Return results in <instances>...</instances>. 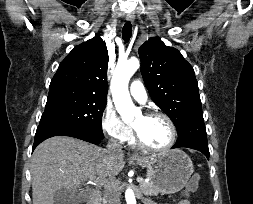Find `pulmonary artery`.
Wrapping results in <instances>:
<instances>
[{"label":"pulmonary artery","mask_w":253,"mask_h":204,"mask_svg":"<svg viewBox=\"0 0 253 204\" xmlns=\"http://www.w3.org/2000/svg\"><path fill=\"white\" fill-rule=\"evenodd\" d=\"M131 96L139 103H145L148 95L143 83L140 80H134L129 88Z\"/></svg>","instance_id":"e3ab8cb5"}]
</instances>
